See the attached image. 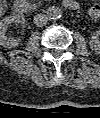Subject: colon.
<instances>
[{"label": "colon", "instance_id": "obj_1", "mask_svg": "<svg viewBox=\"0 0 100 118\" xmlns=\"http://www.w3.org/2000/svg\"><path fill=\"white\" fill-rule=\"evenodd\" d=\"M90 15L92 18L97 19L100 15V10L98 8V6H94L91 11H90Z\"/></svg>", "mask_w": 100, "mask_h": 118}]
</instances>
